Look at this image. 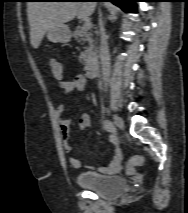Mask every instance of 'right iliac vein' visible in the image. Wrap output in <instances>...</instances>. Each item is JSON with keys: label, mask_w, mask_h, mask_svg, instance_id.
<instances>
[{"label": "right iliac vein", "mask_w": 188, "mask_h": 213, "mask_svg": "<svg viewBox=\"0 0 188 213\" xmlns=\"http://www.w3.org/2000/svg\"><path fill=\"white\" fill-rule=\"evenodd\" d=\"M113 120H114V123L116 124V126L123 130L124 129V121L122 120L121 117L117 116V115H113Z\"/></svg>", "instance_id": "right-iliac-vein-1"}]
</instances>
